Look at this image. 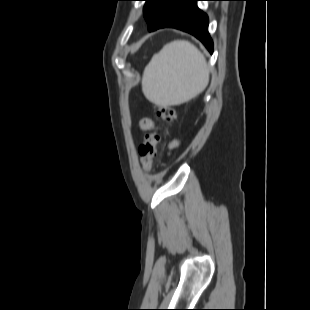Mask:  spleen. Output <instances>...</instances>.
<instances>
[{
    "label": "spleen",
    "instance_id": "spleen-1",
    "mask_svg": "<svg viewBox=\"0 0 310 310\" xmlns=\"http://www.w3.org/2000/svg\"><path fill=\"white\" fill-rule=\"evenodd\" d=\"M208 84L202 53L189 41L176 40L155 54L144 71L142 91L147 99L162 105H180Z\"/></svg>",
    "mask_w": 310,
    "mask_h": 310
}]
</instances>
